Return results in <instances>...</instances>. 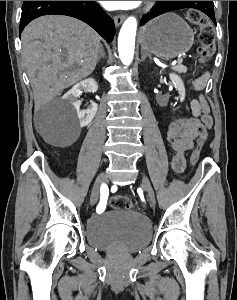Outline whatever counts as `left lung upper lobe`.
I'll return each instance as SVG.
<instances>
[{
  "label": "left lung upper lobe",
  "mask_w": 237,
  "mask_h": 300,
  "mask_svg": "<svg viewBox=\"0 0 237 300\" xmlns=\"http://www.w3.org/2000/svg\"><path fill=\"white\" fill-rule=\"evenodd\" d=\"M157 5L154 9V11L150 14L142 18L140 25H144L146 22L151 20L152 18L161 15L163 13H166L168 11H171L170 5L168 4V1H156Z\"/></svg>",
  "instance_id": "obj_1"
}]
</instances>
